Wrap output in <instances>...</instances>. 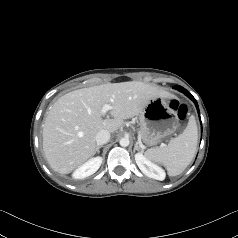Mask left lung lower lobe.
Instances as JSON below:
<instances>
[{
  "instance_id": "1",
  "label": "left lung lower lobe",
  "mask_w": 238,
  "mask_h": 238,
  "mask_svg": "<svg viewBox=\"0 0 238 238\" xmlns=\"http://www.w3.org/2000/svg\"><path fill=\"white\" fill-rule=\"evenodd\" d=\"M173 88L179 90L180 92H183L186 96H188L195 103L198 114L200 115V111H199V107H198V103H197L196 99L185 88H183L179 85H176Z\"/></svg>"
}]
</instances>
